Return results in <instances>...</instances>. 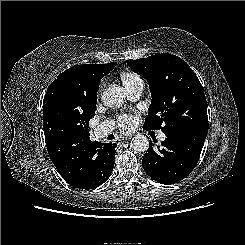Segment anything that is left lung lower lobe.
<instances>
[{
  "mask_svg": "<svg viewBox=\"0 0 245 245\" xmlns=\"http://www.w3.org/2000/svg\"><path fill=\"white\" fill-rule=\"evenodd\" d=\"M207 133L190 131L174 136H167L153 149L149 148L142 160L145 172L161 184H174L186 178L199 161Z\"/></svg>",
  "mask_w": 245,
  "mask_h": 245,
  "instance_id": "obj_1",
  "label": "left lung lower lobe"
}]
</instances>
